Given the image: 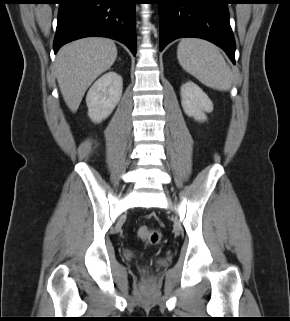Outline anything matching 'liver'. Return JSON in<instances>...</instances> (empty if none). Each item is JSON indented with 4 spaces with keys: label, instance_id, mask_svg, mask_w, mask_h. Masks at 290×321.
I'll return each instance as SVG.
<instances>
[{
    "label": "liver",
    "instance_id": "1",
    "mask_svg": "<svg viewBox=\"0 0 290 321\" xmlns=\"http://www.w3.org/2000/svg\"><path fill=\"white\" fill-rule=\"evenodd\" d=\"M117 58L111 39L82 38L64 45L55 60V73L64 101L76 112L92 82L107 71Z\"/></svg>",
    "mask_w": 290,
    "mask_h": 321
}]
</instances>
